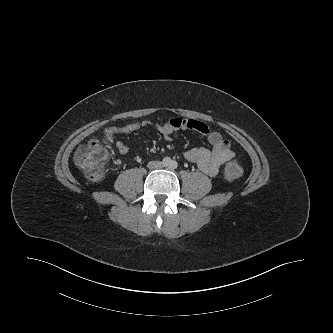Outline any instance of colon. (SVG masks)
Returning a JSON list of instances; mask_svg holds the SVG:
<instances>
[{
  "label": "colon",
  "instance_id": "5ec220e1",
  "mask_svg": "<svg viewBox=\"0 0 333 333\" xmlns=\"http://www.w3.org/2000/svg\"><path fill=\"white\" fill-rule=\"evenodd\" d=\"M74 161L88 179L100 180L105 173L108 152L101 142L91 141L76 151ZM241 173V166L237 162H230L225 168L224 176L229 180H235Z\"/></svg>",
  "mask_w": 333,
  "mask_h": 333
}]
</instances>
